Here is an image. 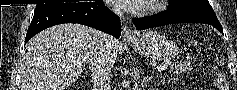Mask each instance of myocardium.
Returning <instances> with one entry per match:
<instances>
[{
  "instance_id": "1",
  "label": "myocardium",
  "mask_w": 237,
  "mask_h": 90,
  "mask_svg": "<svg viewBox=\"0 0 237 90\" xmlns=\"http://www.w3.org/2000/svg\"><path fill=\"white\" fill-rule=\"evenodd\" d=\"M160 2H163V0H160ZM158 9H159V7L155 6L153 4H149V5L143 6V7L131 8L132 12L136 13L141 18H144L148 12H156Z\"/></svg>"
}]
</instances>
